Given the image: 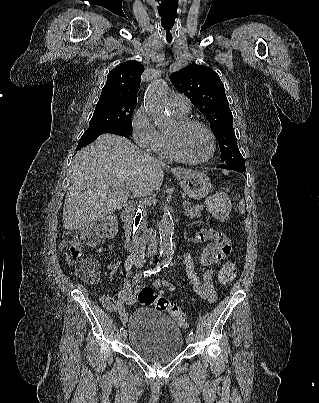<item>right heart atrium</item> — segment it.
<instances>
[{"mask_svg":"<svg viewBox=\"0 0 319 403\" xmlns=\"http://www.w3.org/2000/svg\"><path fill=\"white\" fill-rule=\"evenodd\" d=\"M134 141L146 152L157 155L162 150V135L149 118L145 107H139L131 118Z\"/></svg>","mask_w":319,"mask_h":403,"instance_id":"obj_1","label":"right heart atrium"}]
</instances>
